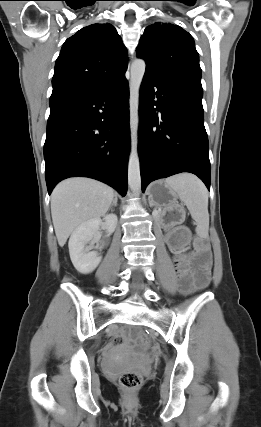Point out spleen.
I'll list each match as a JSON object with an SVG mask.
<instances>
[{"label":"spleen","mask_w":261,"mask_h":427,"mask_svg":"<svg viewBox=\"0 0 261 427\" xmlns=\"http://www.w3.org/2000/svg\"><path fill=\"white\" fill-rule=\"evenodd\" d=\"M166 184L176 191L179 199L187 206L196 224V233L208 236L209 213L208 191L196 176L188 173L178 174L166 179Z\"/></svg>","instance_id":"spleen-1"}]
</instances>
